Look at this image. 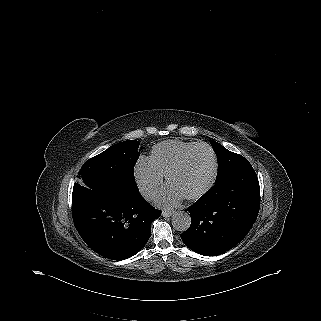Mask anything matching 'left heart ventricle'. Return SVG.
Returning a JSON list of instances; mask_svg holds the SVG:
<instances>
[{"label":"left heart ventricle","mask_w":321,"mask_h":321,"mask_svg":"<svg viewBox=\"0 0 321 321\" xmlns=\"http://www.w3.org/2000/svg\"><path fill=\"white\" fill-rule=\"evenodd\" d=\"M212 173L211 153L207 149H198L185 168L171 179V186L183 195L194 193L210 180Z\"/></svg>","instance_id":"b2bd125f"}]
</instances>
